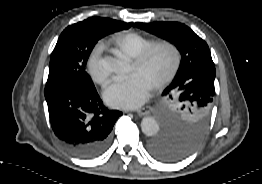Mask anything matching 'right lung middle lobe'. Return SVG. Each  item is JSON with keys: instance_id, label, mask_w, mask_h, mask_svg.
<instances>
[{"instance_id": "dd1d6c3e", "label": "right lung middle lobe", "mask_w": 262, "mask_h": 184, "mask_svg": "<svg viewBox=\"0 0 262 184\" xmlns=\"http://www.w3.org/2000/svg\"><path fill=\"white\" fill-rule=\"evenodd\" d=\"M131 26L130 23L101 17H91L68 26L60 35L52 52L46 85L74 83L86 88H95L85 71L92 49L102 37Z\"/></svg>"}]
</instances>
